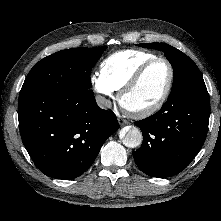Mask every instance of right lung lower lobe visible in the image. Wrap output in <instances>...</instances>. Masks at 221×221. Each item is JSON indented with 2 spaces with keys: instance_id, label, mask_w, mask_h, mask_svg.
<instances>
[{
  "instance_id": "1",
  "label": "right lung lower lobe",
  "mask_w": 221,
  "mask_h": 221,
  "mask_svg": "<svg viewBox=\"0 0 221 221\" xmlns=\"http://www.w3.org/2000/svg\"><path fill=\"white\" fill-rule=\"evenodd\" d=\"M18 120L31 159L57 179L83 174L119 128L115 114L99 108L91 90L20 96Z\"/></svg>"
}]
</instances>
